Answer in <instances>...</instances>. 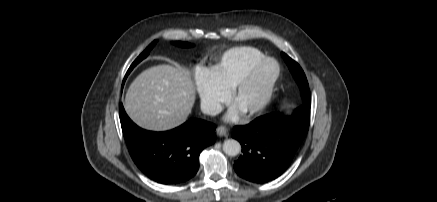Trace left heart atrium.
Listing matches in <instances>:
<instances>
[{
    "mask_svg": "<svg viewBox=\"0 0 437 202\" xmlns=\"http://www.w3.org/2000/svg\"><path fill=\"white\" fill-rule=\"evenodd\" d=\"M239 114H240V110L234 105L228 111L226 115V119L230 121L236 120L239 117Z\"/></svg>",
    "mask_w": 437,
    "mask_h": 202,
    "instance_id": "39dd6f15",
    "label": "left heart atrium"
}]
</instances>
